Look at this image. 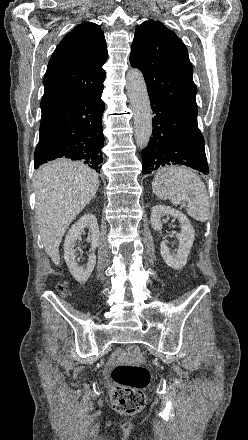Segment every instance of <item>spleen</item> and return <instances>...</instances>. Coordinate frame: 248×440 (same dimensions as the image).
Wrapping results in <instances>:
<instances>
[{"label":"spleen","mask_w":248,"mask_h":440,"mask_svg":"<svg viewBox=\"0 0 248 440\" xmlns=\"http://www.w3.org/2000/svg\"><path fill=\"white\" fill-rule=\"evenodd\" d=\"M153 193L161 200L178 205L187 202L186 211L193 219L205 222L210 214L209 198L201 179L186 167L159 169L152 182Z\"/></svg>","instance_id":"spleen-1"}]
</instances>
